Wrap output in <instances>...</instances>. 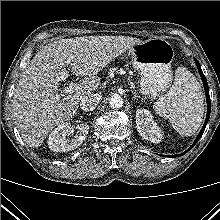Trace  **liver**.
Wrapping results in <instances>:
<instances>
[{"label":"liver","mask_w":220,"mask_h":220,"mask_svg":"<svg viewBox=\"0 0 220 220\" xmlns=\"http://www.w3.org/2000/svg\"><path fill=\"white\" fill-rule=\"evenodd\" d=\"M141 40L123 36L61 39L44 46L21 74L13 96V116L24 142L38 148L54 127L70 121L85 95L96 91L98 73ZM84 76L82 89L60 99L58 84L69 76Z\"/></svg>","instance_id":"liver-1"}]
</instances>
